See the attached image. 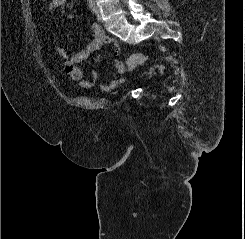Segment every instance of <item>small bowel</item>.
<instances>
[{"label": "small bowel", "mask_w": 245, "mask_h": 239, "mask_svg": "<svg viewBox=\"0 0 245 239\" xmlns=\"http://www.w3.org/2000/svg\"><path fill=\"white\" fill-rule=\"evenodd\" d=\"M67 0H50L47 9L50 12L61 11L63 12ZM113 45L115 56L120 55V46L116 39L107 37L103 29L98 24H92L91 36L85 43L83 48L72 56H68L64 49L58 47L57 52L61 58L64 59V71L71 80L79 82V85L85 89L94 88L99 81V73L92 71L88 79H83V72L79 64L87 60L94 52H96L103 45ZM115 72L112 74L108 82L100 85L103 92H110L114 90L120 83L124 81L123 75L126 73V67L119 59L115 58L112 61Z\"/></svg>", "instance_id": "1"}]
</instances>
